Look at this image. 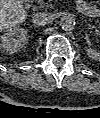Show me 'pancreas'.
<instances>
[{
	"instance_id": "cf45deb5",
	"label": "pancreas",
	"mask_w": 100,
	"mask_h": 118,
	"mask_svg": "<svg viewBox=\"0 0 100 118\" xmlns=\"http://www.w3.org/2000/svg\"><path fill=\"white\" fill-rule=\"evenodd\" d=\"M42 1H43V0H39V3H40V5H41V7H44V6H45V7H48L47 5H43Z\"/></svg>"
}]
</instances>
